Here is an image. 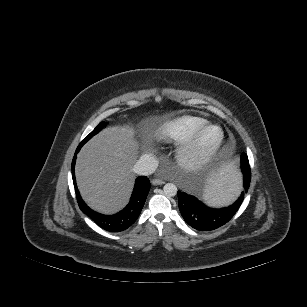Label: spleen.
<instances>
[{
    "label": "spleen",
    "instance_id": "spleen-1",
    "mask_svg": "<svg viewBox=\"0 0 307 307\" xmlns=\"http://www.w3.org/2000/svg\"><path fill=\"white\" fill-rule=\"evenodd\" d=\"M246 172L232 158L216 162L203 182V196L213 206H224L242 198L246 191Z\"/></svg>",
    "mask_w": 307,
    "mask_h": 307
}]
</instances>
